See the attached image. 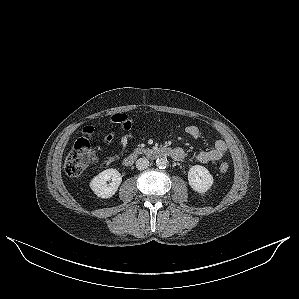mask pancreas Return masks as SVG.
I'll return each instance as SVG.
<instances>
[{"mask_svg":"<svg viewBox=\"0 0 299 299\" xmlns=\"http://www.w3.org/2000/svg\"><path fill=\"white\" fill-rule=\"evenodd\" d=\"M143 150H144L143 148H140V147H139V148H136L135 151H136V152H142Z\"/></svg>","mask_w":299,"mask_h":299,"instance_id":"1","label":"pancreas"}]
</instances>
